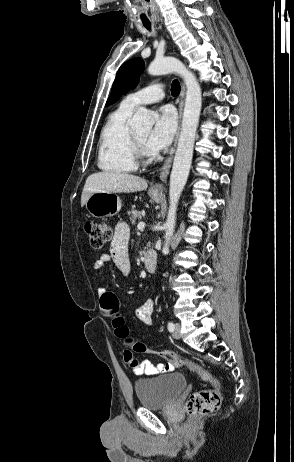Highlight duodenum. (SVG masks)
Returning <instances> with one entry per match:
<instances>
[{"mask_svg": "<svg viewBox=\"0 0 294 462\" xmlns=\"http://www.w3.org/2000/svg\"><path fill=\"white\" fill-rule=\"evenodd\" d=\"M144 265L148 272H153L157 265V255L153 249H147L144 254Z\"/></svg>", "mask_w": 294, "mask_h": 462, "instance_id": "obj_1", "label": "duodenum"}]
</instances>
